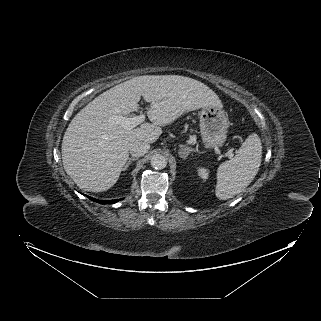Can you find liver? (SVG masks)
<instances>
[{
	"mask_svg": "<svg viewBox=\"0 0 321 321\" xmlns=\"http://www.w3.org/2000/svg\"><path fill=\"white\" fill-rule=\"evenodd\" d=\"M141 96L151 103L147 111L151 123L128 130L110 121L137 111ZM208 106L222 107L215 92L195 79L178 75L134 77L103 92L75 115L62 141L64 169L80 189L108 190L117 182L131 144L153 143L162 134V126Z\"/></svg>",
	"mask_w": 321,
	"mask_h": 321,
	"instance_id": "liver-1",
	"label": "liver"
}]
</instances>
